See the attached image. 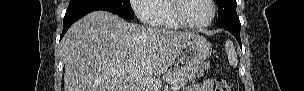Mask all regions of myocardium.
Returning a JSON list of instances; mask_svg holds the SVG:
<instances>
[{
  "instance_id": "1",
  "label": "myocardium",
  "mask_w": 304,
  "mask_h": 91,
  "mask_svg": "<svg viewBox=\"0 0 304 91\" xmlns=\"http://www.w3.org/2000/svg\"><path fill=\"white\" fill-rule=\"evenodd\" d=\"M186 0H173L172 6H171V15L173 19L178 22L182 27L188 28V29H204L209 27L215 20L216 17V6L215 2L213 0H207L208 4L211 7L212 14L210 19L203 24H192L186 20V18L183 15V3Z\"/></svg>"
}]
</instances>
